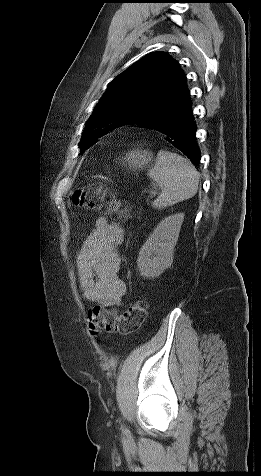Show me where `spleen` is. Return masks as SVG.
<instances>
[{
    "label": "spleen",
    "mask_w": 261,
    "mask_h": 476,
    "mask_svg": "<svg viewBox=\"0 0 261 476\" xmlns=\"http://www.w3.org/2000/svg\"><path fill=\"white\" fill-rule=\"evenodd\" d=\"M148 176L161 188L153 207L166 208L192 198L198 190L199 173L191 162L176 153L161 150Z\"/></svg>",
    "instance_id": "obj_1"
}]
</instances>
